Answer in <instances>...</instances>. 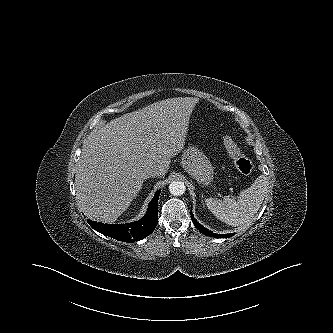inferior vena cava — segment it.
<instances>
[{"instance_id": "602c4592", "label": "inferior vena cava", "mask_w": 333, "mask_h": 333, "mask_svg": "<svg viewBox=\"0 0 333 333\" xmlns=\"http://www.w3.org/2000/svg\"><path fill=\"white\" fill-rule=\"evenodd\" d=\"M160 171L157 168L150 169L148 172V177L159 176Z\"/></svg>"}]
</instances>
